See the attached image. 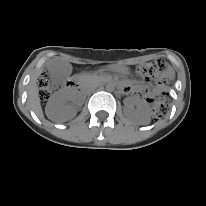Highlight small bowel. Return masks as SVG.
Here are the masks:
<instances>
[{"instance_id":"obj_1","label":"small bowel","mask_w":206,"mask_h":206,"mask_svg":"<svg viewBox=\"0 0 206 206\" xmlns=\"http://www.w3.org/2000/svg\"><path fill=\"white\" fill-rule=\"evenodd\" d=\"M159 86H161V85H159ZM126 90H129V88H126Z\"/></svg>"}]
</instances>
